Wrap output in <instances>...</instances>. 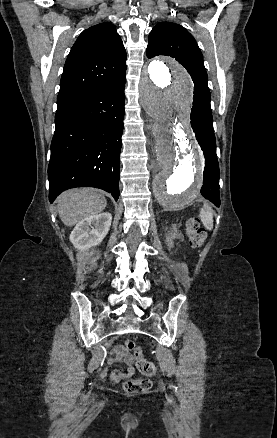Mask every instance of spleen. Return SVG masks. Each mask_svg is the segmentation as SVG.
I'll use <instances>...</instances> for the list:
<instances>
[{
  "label": "spleen",
  "mask_w": 277,
  "mask_h": 438,
  "mask_svg": "<svg viewBox=\"0 0 277 438\" xmlns=\"http://www.w3.org/2000/svg\"><path fill=\"white\" fill-rule=\"evenodd\" d=\"M200 218L203 226L207 228V230H212L213 228V214L211 212V208L207 206V204H204L201 212H200Z\"/></svg>",
  "instance_id": "obj_1"
}]
</instances>
